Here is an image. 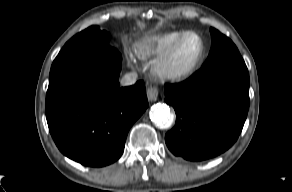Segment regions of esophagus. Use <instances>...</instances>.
I'll return each instance as SVG.
<instances>
[{
  "mask_svg": "<svg viewBox=\"0 0 292 192\" xmlns=\"http://www.w3.org/2000/svg\"><path fill=\"white\" fill-rule=\"evenodd\" d=\"M158 94H159V91H158V88L156 87L151 86L147 89V97H148V100L151 102H154L158 99Z\"/></svg>",
  "mask_w": 292,
  "mask_h": 192,
  "instance_id": "34e87169",
  "label": "esophagus"
}]
</instances>
